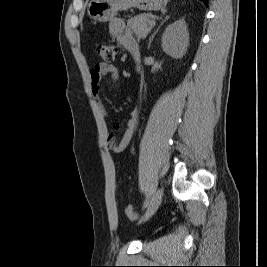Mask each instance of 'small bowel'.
I'll return each instance as SVG.
<instances>
[{"mask_svg": "<svg viewBox=\"0 0 267 267\" xmlns=\"http://www.w3.org/2000/svg\"><path fill=\"white\" fill-rule=\"evenodd\" d=\"M109 31L110 34L125 47V49L132 55V57L136 61L140 59V46L138 42L126 30L125 23L122 19L116 18L112 20L109 24ZM90 75L92 84V94L94 96L95 102L98 106L100 113L104 117H106L107 111L100 98V82L101 79L106 75H111L112 79L114 80L118 79V69L113 64L102 62L96 64L92 68ZM138 121V112L135 111L132 113V116L125 122L123 134L119 142H116L115 140V131L119 130L120 124L118 122L114 124V131H111L107 136V146L113 153L119 154L125 151L131 141Z\"/></svg>", "mask_w": 267, "mask_h": 267, "instance_id": "1", "label": "small bowel"}]
</instances>
